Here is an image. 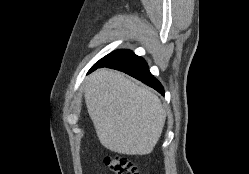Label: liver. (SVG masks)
Returning a JSON list of instances; mask_svg holds the SVG:
<instances>
[{"label":"liver","mask_w":249,"mask_h":174,"mask_svg":"<svg viewBox=\"0 0 249 174\" xmlns=\"http://www.w3.org/2000/svg\"><path fill=\"white\" fill-rule=\"evenodd\" d=\"M84 97L105 148L126 155H147L153 151L166 114L149 88L118 71L103 68L90 75Z\"/></svg>","instance_id":"liver-1"}]
</instances>
